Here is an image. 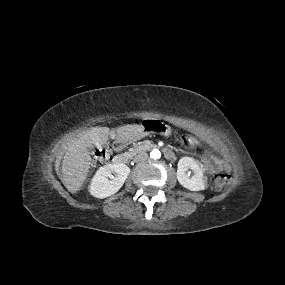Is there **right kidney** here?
Here are the masks:
<instances>
[{
	"label": "right kidney",
	"instance_id": "right-kidney-1",
	"mask_svg": "<svg viewBox=\"0 0 285 285\" xmlns=\"http://www.w3.org/2000/svg\"><path fill=\"white\" fill-rule=\"evenodd\" d=\"M130 168L123 163L107 164L100 167L92 178L89 192L96 198H106L115 194L124 184Z\"/></svg>",
	"mask_w": 285,
	"mask_h": 285
}]
</instances>
